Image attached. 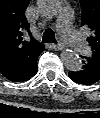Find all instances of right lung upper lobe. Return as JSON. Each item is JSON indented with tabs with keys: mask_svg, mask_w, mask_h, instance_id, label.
<instances>
[{
	"mask_svg": "<svg viewBox=\"0 0 100 118\" xmlns=\"http://www.w3.org/2000/svg\"><path fill=\"white\" fill-rule=\"evenodd\" d=\"M30 0H0V73L7 79L20 75L42 46L31 38L25 10Z\"/></svg>",
	"mask_w": 100,
	"mask_h": 118,
	"instance_id": "1",
	"label": "right lung upper lobe"
}]
</instances>
